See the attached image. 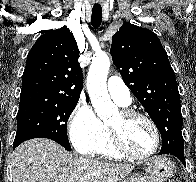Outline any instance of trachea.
Returning a JSON list of instances; mask_svg holds the SVG:
<instances>
[{"mask_svg":"<svg viewBox=\"0 0 196 182\" xmlns=\"http://www.w3.org/2000/svg\"><path fill=\"white\" fill-rule=\"evenodd\" d=\"M92 26L98 28L102 22V9L101 7L92 8V17H91Z\"/></svg>","mask_w":196,"mask_h":182,"instance_id":"obj_1","label":"trachea"}]
</instances>
